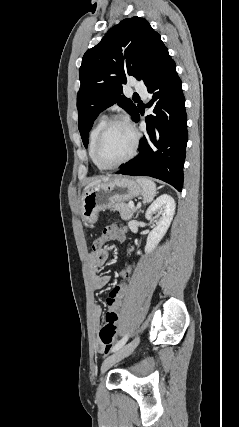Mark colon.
<instances>
[{"label": "colon", "mask_w": 239, "mask_h": 427, "mask_svg": "<svg viewBox=\"0 0 239 427\" xmlns=\"http://www.w3.org/2000/svg\"><path fill=\"white\" fill-rule=\"evenodd\" d=\"M124 224L121 222H111L105 227L102 234L97 237L92 243L93 252L101 250L104 243L110 241L111 244H126L128 233L124 229ZM134 249L133 243L127 244V249H124V255L130 256L131 250ZM121 280L116 281L104 298L105 305H109L106 309L104 324L100 329L99 337L104 346V352L107 353L109 348L116 340L118 333L119 308H122L126 300L128 289V281L133 275V268L129 263H121Z\"/></svg>", "instance_id": "obj_1"}]
</instances>
